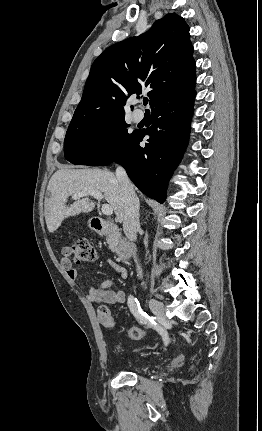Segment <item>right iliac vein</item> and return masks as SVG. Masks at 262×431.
<instances>
[{
	"mask_svg": "<svg viewBox=\"0 0 262 431\" xmlns=\"http://www.w3.org/2000/svg\"><path fill=\"white\" fill-rule=\"evenodd\" d=\"M149 307L152 310V312L157 315L158 317H163L165 314V305L163 302L155 299L150 298L149 299Z\"/></svg>",
	"mask_w": 262,
	"mask_h": 431,
	"instance_id": "obj_1",
	"label": "right iliac vein"
}]
</instances>
